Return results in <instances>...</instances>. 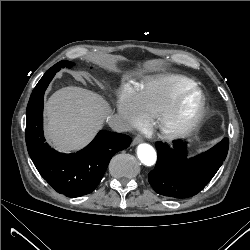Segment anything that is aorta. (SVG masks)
Instances as JSON below:
<instances>
[{
    "instance_id": "aorta-1",
    "label": "aorta",
    "mask_w": 250,
    "mask_h": 250,
    "mask_svg": "<svg viewBox=\"0 0 250 250\" xmlns=\"http://www.w3.org/2000/svg\"><path fill=\"white\" fill-rule=\"evenodd\" d=\"M137 155L140 161L146 166L154 165L157 159L154 148L146 143L140 144L137 147Z\"/></svg>"
}]
</instances>
